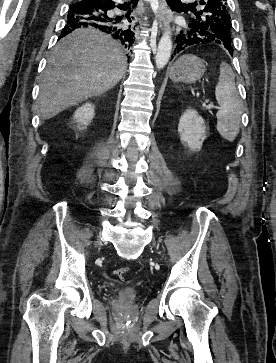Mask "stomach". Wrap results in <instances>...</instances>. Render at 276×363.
<instances>
[{"label":"stomach","instance_id":"1","mask_svg":"<svg viewBox=\"0 0 276 363\" xmlns=\"http://www.w3.org/2000/svg\"><path fill=\"white\" fill-rule=\"evenodd\" d=\"M205 73L204 61L194 55L181 56L172 66L170 79L173 82L192 84L199 81Z\"/></svg>","mask_w":276,"mask_h":363}]
</instances>
